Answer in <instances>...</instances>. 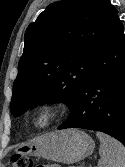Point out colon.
<instances>
[{
    "instance_id": "colon-1",
    "label": "colon",
    "mask_w": 125,
    "mask_h": 167,
    "mask_svg": "<svg viewBox=\"0 0 125 167\" xmlns=\"http://www.w3.org/2000/svg\"><path fill=\"white\" fill-rule=\"evenodd\" d=\"M10 167H32L31 160L21 154H14L9 158Z\"/></svg>"
}]
</instances>
